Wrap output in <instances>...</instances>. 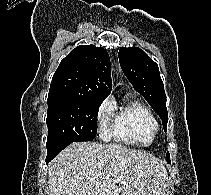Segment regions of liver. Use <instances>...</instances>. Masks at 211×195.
<instances>
[{"label": "liver", "instance_id": "liver-1", "mask_svg": "<svg viewBox=\"0 0 211 195\" xmlns=\"http://www.w3.org/2000/svg\"><path fill=\"white\" fill-rule=\"evenodd\" d=\"M167 181L163 161L120 144L72 143L48 170L50 195H167Z\"/></svg>", "mask_w": 211, "mask_h": 195}]
</instances>
